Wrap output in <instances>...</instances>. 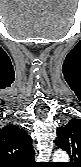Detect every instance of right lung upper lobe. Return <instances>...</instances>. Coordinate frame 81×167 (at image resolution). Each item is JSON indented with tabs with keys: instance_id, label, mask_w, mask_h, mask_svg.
<instances>
[{
	"instance_id": "1",
	"label": "right lung upper lobe",
	"mask_w": 81,
	"mask_h": 167,
	"mask_svg": "<svg viewBox=\"0 0 81 167\" xmlns=\"http://www.w3.org/2000/svg\"><path fill=\"white\" fill-rule=\"evenodd\" d=\"M34 155L27 132L12 124L0 129V167H34Z\"/></svg>"
}]
</instances>
